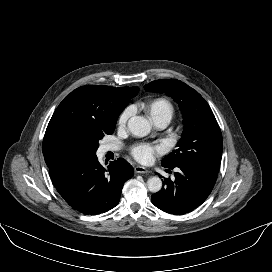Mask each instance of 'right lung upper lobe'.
<instances>
[{"instance_id": "obj_1", "label": "right lung upper lobe", "mask_w": 272, "mask_h": 272, "mask_svg": "<svg viewBox=\"0 0 272 272\" xmlns=\"http://www.w3.org/2000/svg\"><path fill=\"white\" fill-rule=\"evenodd\" d=\"M138 87L86 85L67 95L55 110L44 135L48 167L75 160L71 155L96 137L111 134Z\"/></svg>"}]
</instances>
